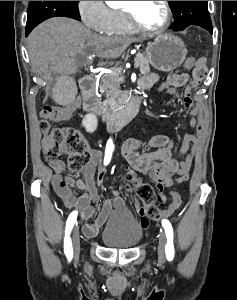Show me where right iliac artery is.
Returning <instances> with one entry per match:
<instances>
[{
	"label": "right iliac artery",
	"instance_id": "1",
	"mask_svg": "<svg viewBox=\"0 0 237 300\" xmlns=\"http://www.w3.org/2000/svg\"><path fill=\"white\" fill-rule=\"evenodd\" d=\"M113 150H114V145H113L112 139H109L107 142V145H106L104 165L109 164ZM77 215H78V212L73 211L69 215L67 222H66L65 238H64V253L68 259H72V257H73V248H72L70 233L76 222Z\"/></svg>",
	"mask_w": 237,
	"mask_h": 300
}]
</instances>
